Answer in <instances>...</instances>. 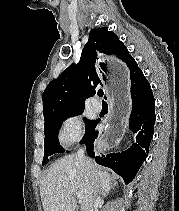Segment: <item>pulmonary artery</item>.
Instances as JSON below:
<instances>
[{
    "label": "pulmonary artery",
    "instance_id": "1",
    "mask_svg": "<svg viewBox=\"0 0 179 211\" xmlns=\"http://www.w3.org/2000/svg\"><path fill=\"white\" fill-rule=\"evenodd\" d=\"M92 108L96 112H100L102 110V104L100 103V101L98 99H96V98L93 99Z\"/></svg>",
    "mask_w": 179,
    "mask_h": 211
}]
</instances>
